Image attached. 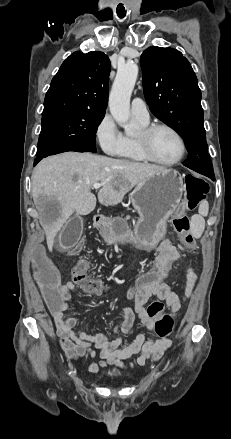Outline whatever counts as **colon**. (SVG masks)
I'll return each mask as SVG.
<instances>
[{
  "mask_svg": "<svg viewBox=\"0 0 231 439\" xmlns=\"http://www.w3.org/2000/svg\"><path fill=\"white\" fill-rule=\"evenodd\" d=\"M186 196L180 210L173 219V226L180 235L181 241L189 248L194 246V238L191 233L190 219L185 213L186 210H193L201 200L204 199L208 192V184L201 178L193 175L185 176ZM87 241L85 236H81L75 243L73 249L77 252L84 246ZM35 266V283L41 288L49 313H58L62 307V296L57 293V287L62 281L61 274L50 267L51 261L47 254L46 248L39 245L36 248ZM180 262L179 257L169 256L162 257L160 260H153L146 270H141L140 276H137L130 289H127L125 295L127 298L135 297V290L142 286L143 283H169L166 281L167 273H172L173 265ZM89 266L84 260L76 263L72 269L73 280L84 290L101 294L106 290L104 283L97 278L88 277ZM149 298V297H148ZM174 329V319L170 314H161L154 322V333L159 338H167Z\"/></svg>",
  "mask_w": 231,
  "mask_h": 439,
  "instance_id": "colon-1",
  "label": "colon"
}]
</instances>
